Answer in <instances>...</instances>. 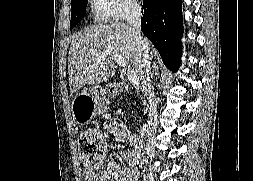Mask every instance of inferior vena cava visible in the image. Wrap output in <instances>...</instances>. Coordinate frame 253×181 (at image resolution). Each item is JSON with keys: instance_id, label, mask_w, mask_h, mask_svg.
I'll return each instance as SVG.
<instances>
[{"instance_id": "602c4592", "label": "inferior vena cava", "mask_w": 253, "mask_h": 181, "mask_svg": "<svg viewBox=\"0 0 253 181\" xmlns=\"http://www.w3.org/2000/svg\"><path fill=\"white\" fill-rule=\"evenodd\" d=\"M141 9L137 2H131L128 4L126 9V19L127 24L132 28L135 39L138 45V49L141 51L143 56V63L145 67V79L143 80V88L148 93L150 102V114L152 115V120L155 121L157 118V101L154 99L152 91V77H151V58L148 50V43L145 38L141 35ZM153 67V66H152ZM154 128V127H153ZM153 136V132L150 133V139Z\"/></svg>"}]
</instances>
